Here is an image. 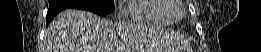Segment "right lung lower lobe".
<instances>
[{"instance_id": "1", "label": "right lung lower lobe", "mask_w": 261, "mask_h": 52, "mask_svg": "<svg viewBox=\"0 0 261 52\" xmlns=\"http://www.w3.org/2000/svg\"><path fill=\"white\" fill-rule=\"evenodd\" d=\"M64 9L62 8H49L47 16H46V25H48L51 20L54 18L55 15H57L60 11Z\"/></svg>"}]
</instances>
